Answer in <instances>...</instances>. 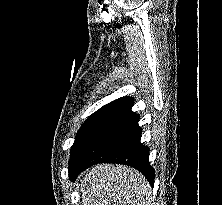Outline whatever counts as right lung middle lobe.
<instances>
[{"label": "right lung middle lobe", "mask_w": 222, "mask_h": 205, "mask_svg": "<svg viewBox=\"0 0 222 205\" xmlns=\"http://www.w3.org/2000/svg\"><path fill=\"white\" fill-rule=\"evenodd\" d=\"M106 114H107L106 112H95L82 124L81 128L79 129L76 135L73 146L71 148L69 166L74 161L75 157L81 150L83 144L87 140L90 133L98 125V123L105 117Z\"/></svg>", "instance_id": "dd1d6c3e"}]
</instances>
